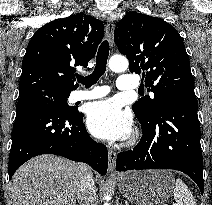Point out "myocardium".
<instances>
[{"label":"myocardium","mask_w":212,"mask_h":205,"mask_svg":"<svg viewBox=\"0 0 212 205\" xmlns=\"http://www.w3.org/2000/svg\"><path fill=\"white\" fill-rule=\"evenodd\" d=\"M137 138H138V135H137V134H134V135L132 136V138L130 139L129 143H130V144L135 143V142L137 141Z\"/></svg>","instance_id":"obj_1"}]
</instances>
